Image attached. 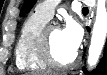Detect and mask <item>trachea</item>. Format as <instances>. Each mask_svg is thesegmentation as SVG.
Instances as JSON below:
<instances>
[{
	"instance_id": "1",
	"label": "trachea",
	"mask_w": 107,
	"mask_h": 75,
	"mask_svg": "<svg viewBox=\"0 0 107 75\" xmlns=\"http://www.w3.org/2000/svg\"><path fill=\"white\" fill-rule=\"evenodd\" d=\"M83 9H88L87 7H84Z\"/></svg>"
}]
</instances>
